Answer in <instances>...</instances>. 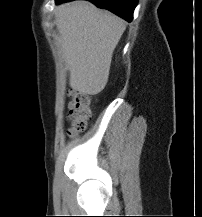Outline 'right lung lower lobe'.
Instances as JSON below:
<instances>
[{
	"instance_id": "right-lung-lower-lobe-1",
	"label": "right lung lower lobe",
	"mask_w": 202,
	"mask_h": 217,
	"mask_svg": "<svg viewBox=\"0 0 202 217\" xmlns=\"http://www.w3.org/2000/svg\"><path fill=\"white\" fill-rule=\"evenodd\" d=\"M57 2H67L72 0H56ZM94 3L97 7L107 9L127 21H132L133 11L138 0H88Z\"/></svg>"
}]
</instances>
